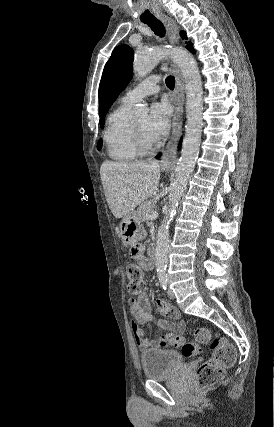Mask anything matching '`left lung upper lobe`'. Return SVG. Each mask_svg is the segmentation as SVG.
<instances>
[{"instance_id": "1", "label": "left lung upper lobe", "mask_w": 274, "mask_h": 427, "mask_svg": "<svg viewBox=\"0 0 274 427\" xmlns=\"http://www.w3.org/2000/svg\"><path fill=\"white\" fill-rule=\"evenodd\" d=\"M181 37L187 39L186 33L181 32ZM191 50V43H187ZM133 50L126 44L117 46L106 63L99 85V111L100 125L103 128L105 114L111 107L119 93L125 89L132 78Z\"/></svg>"}]
</instances>
